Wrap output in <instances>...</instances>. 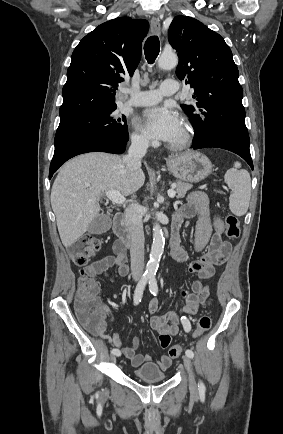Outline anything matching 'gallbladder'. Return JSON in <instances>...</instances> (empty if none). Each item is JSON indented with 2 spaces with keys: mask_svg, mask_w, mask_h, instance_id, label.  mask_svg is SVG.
<instances>
[{
  "mask_svg": "<svg viewBox=\"0 0 283 434\" xmlns=\"http://www.w3.org/2000/svg\"><path fill=\"white\" fill-rule=\"evenodd\" d=\"M112 221L110 215H98L89 225L88 232L91 234H101L108 231Z\"/></svg>",
  "mask_w": 283,
  "mask_h": 434,
  "instance_id": "obj_1",
  "label": "gallbladder"
}]
</instances>
